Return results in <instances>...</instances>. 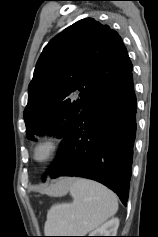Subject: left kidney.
<instances>
[{
  "instance_id": "5707ae66",
  "label": "left kidney",
  "mask_w": 158,
  "mask_h": 237,
  "mask_svg": "<svg viewBox=\"0 0 158 237\" xmlns=\"http://www.w3.org/2000/svg\"><path fill=\"white\" fill-rule=\"evenodd\" d=\"M119 227V219L112 218L101 227L97 228L89 236H116Z\"/></svg>"
}]
</instances>
